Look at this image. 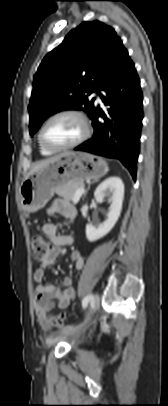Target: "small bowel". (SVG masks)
Listing matches in <instances>:
<instances>
[{"instance_id":"c3829d8e","label":"small bowel","mask_w":168,"mask_h":406,"mask_svg":"<svg viewBox=\"0 0 168 406\" xmlns=\"http://www.w3.org/2000/svg\"><path fill=\"white\" fill-rule=\"evenodd\" d=\"M47 213L54 216L62 213L65 217L73 219L75 211L68 205L60 201L53 202L47 209ZM43 233L53 245V250L49 258L41 262L40 267L34 272L33 278L38 287L35 293V312L38 323L45 329L50 327L46 313L53 307L57 309H66L71 301L75 298V290L72 287V279L65 277L59 284H43L46 270L55 265L56 258L62 253L65 246L71 245L74 241L72 236L59 234V225L56 223H46L43 225ZM71 261L76 269L81 270L84 265V258L79 251H72L70 254Z\"/></svg>"}]
</instances>
